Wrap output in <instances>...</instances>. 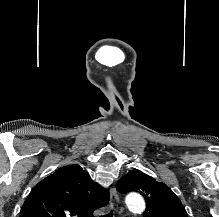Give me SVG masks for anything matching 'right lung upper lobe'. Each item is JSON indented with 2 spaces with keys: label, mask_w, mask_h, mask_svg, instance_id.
I'll use <instances>...</instances> for the list:
<instances>
[{
  "label": "right lung upper lobe",
  "mask_w": 219,
  "mask_h": 217,
  "mask_svg": "<svg viewBox=\"0 0 219 217\" xmlns=\"http://www.w3.org/2000/svg\"><path fill=\"white\" fill-rule=\"evenodd\" d=\"M109 192L79 165H67L41 180L30 192L20 217H93L106 206Z\"/></svg>",
  "instance_id": "obj_1"
}]
</instances>
